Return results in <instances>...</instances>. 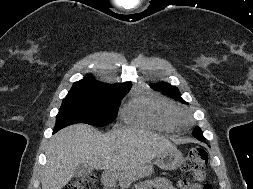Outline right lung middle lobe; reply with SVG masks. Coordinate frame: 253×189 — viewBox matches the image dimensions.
I'll return each instance as SVG.
<instances>
[{"label":"right lung middle lobe","instance_id":"obj_1","mask_svg":"<svg viewBox=\"0 0 253 189\" xmlns=\"http://www.w3.org/2000/svg\"><path fill=\"white\" fill-rule=\"evenodd\" d=\"M128 92L129 90L69 91L56 116L54 129L60 130L74 123L105 126L116 118L121 99Z\"/></svg>","mask_w":253,"mask_h":189}]
</instances>
